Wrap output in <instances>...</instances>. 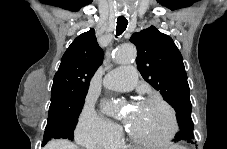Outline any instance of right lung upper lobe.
<instances>
[{"instance_id":"cb5924a9","label":"right lung upper lobe","mask_w":227,"mask_h":149,"mask_svg":"<svg viewBox=\"0 0 227 149\" xmlns=\"http://www.w3.org/2000/svg\"><path fill=\"white\" fill-rule=\"evenodd\" d=\"M103 61L94 29L79 35L64 53L51 89L55 95H86L94 73Z\"/></svg>"}]
</instances>
